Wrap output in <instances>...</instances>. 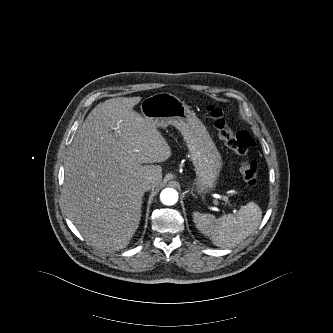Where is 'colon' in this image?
<instances>
[{
    "instance_id": "obj_1",
    "label": "colon",
    "mask_w": 333,
    "mask_h": 333,
    "mask_svg": "<svg viewBox=\"0 0 333 333\" xmlns=\"http://www.w3.org/2000/svg\"><path fill=\"white\" fill-rule=\"evenodd\" d=\"M206 112L213 120L220 138L233 149L238 155L246 156L249 150L255 145V141L247 131L233 132L226 124L224 111L216 105L207 107ZM240 172L248 186H255L257 183V163L252 160L243 159L240 163Z\"/></svg>"
}]
</instances>
